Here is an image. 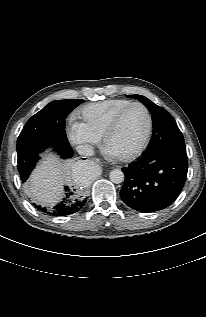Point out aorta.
Instances as JSON below:
<instances>
[{
    "label": "aorta",
    "mask_w": 206,
    "mask_h": 317,
    "mask_svg": "<svg viewBox=\"0 0 206 317\" xmlns=\"http://www.w3.org/2000/svg\"><path fill=\"white\" fill-rule=\"evenodd\" d=\"M97 172L98 168H96L95 164L87 162L80 167L77 175L81 181H88L95 177ZM109 178L111 182L119 184L124 181V173L120 169H114L110 172Z\"/></svg>",
    "instance_id": "obj_1"
}]
</instances>
